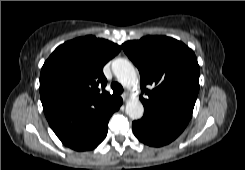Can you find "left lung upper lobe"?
Returning a JSON list of instances; mask_svg holds the SVG:
<instances>
[{
	"mask_svg": "<svg viewBox=\"0 0 245 170\" xmlns=\"http://www.w3.org/2000/svg\"><path fill=\"white\" fill-rule=\"evenodd\" d=\"M137 66L144 107L190 120L199 91V65L184 43L166 36H146L122 44ZM153 85L152 90L146 89Z\"/></svg>",
	"mask_w": 245,
	"mask_h": 170,
	"instance_id": "1",
	"label": "left lung upper lobe"
}]
</instances>
